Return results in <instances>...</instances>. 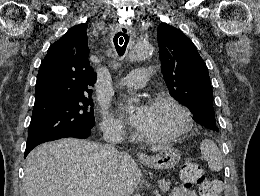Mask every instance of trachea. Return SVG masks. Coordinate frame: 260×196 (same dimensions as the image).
Here are the masks:
<instances>
[{"instance_id": "3493384b", "label": "trachea", "mask_w": 260, "mask_h": 196, "mask_svg": "<svg viewBox=\"0 0 260 196\" xmlns=\"http://www.w3.org/2000/svg\"><path fill=\"white\" fill-rule=\"evenodd\" d=\"M123 32L124 33H117L113 38V42L119 56L124 55L130 39L129 35L126 33V30H123Z\"/></svg>"}]
</instances>
